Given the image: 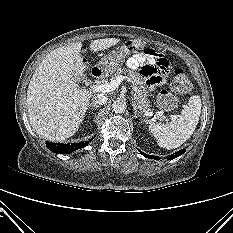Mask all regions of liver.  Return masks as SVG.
<instances>
[{
    "label": "liver",
    "instance_id": "obj_1",
    "mask_svg": "<svg viewBox=\"0 0 233 233\" xmlns=\"http://www.w3.org/2000/svg\"><path fill=\"white\" fill-rule=\"evenodd\" d=\"M117 38L91 42L93 52L116 45ZM82 43L60 47L50 52L35 70L27 90L30 124L36 133L52 141H63L79 129L94 92L76 82L86 66L81 57Z\"/></svg>",
    "mask_w": 233,
    "mask_h": 233
}]
</instances>
